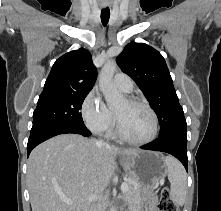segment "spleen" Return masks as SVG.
<instances>
[{
  "instance_id": "1",
  "label": "spleen",
  "mask_w": 221,
  "mask_h": 211,
  "mask_svg": "<svg viewBox=\"0 0 221 211\" xmlns=\"http://www.w3.org/2000/svg\"><path fill=\"white\" fill-rule=\"evenodd\" d=\"M168 180L171 184L170 196L177 206H183L187 195V176L183 166L175 158L166 156Z\"/></svg>"
}]
</instances>
